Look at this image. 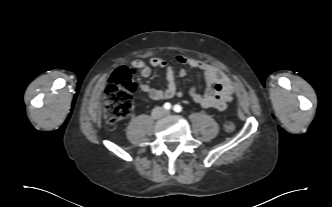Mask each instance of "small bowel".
Returning a JSON list of instances; mask_svg holds the SVG:
<instances>
[{
    "label": "small bowel",
    "instance_id": "obj_1",
    "mask_svg": "<svg viewBox=\"0 0 332 207\" xmlns=\"http://www.w3.org/2000/svg\"><path fill=\"white\" fill-rule=\"evenodd\" d=\"M176 61L182 66L198 69L202 71L204 75L206 81L205 92L200 94L195 88H191L189 91V95L195 103L204 108H214L217 110L226 108L228 103L233 99L234 86L231 79L224 72L213 65L185 55H178ZM131 66L139 70L142 77H148L153 68L162 69L164 71L167 80L166 88H153L147 84H141L139 86V89L150 99L164 100L172 98L173 96L182 95L176 88L174 68L164 59L153 56L149 59L148 63L140 59H134L131 61ZM178 75L184 77L186 75V69L182 67Z\"/></svg>",
    "mask_w": 332,
    "mask_h": 207
}]
</instances>
